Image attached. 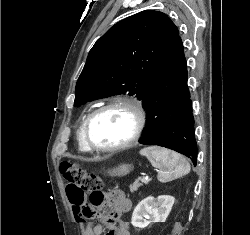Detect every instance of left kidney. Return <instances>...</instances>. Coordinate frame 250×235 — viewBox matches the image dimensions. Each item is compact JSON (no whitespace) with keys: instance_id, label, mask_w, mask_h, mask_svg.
I'll return each instance as SVG.
<instances>
[{"instance_id":"1","label":"left kidney","mask_w":250,"mask_h":235,"mask_svg":"<svg viewBox=\"0 0 250 235\" xmlns=\"http://www.w3.org/2000/svg\"><path fill=\"white\" fill-rule=\"evenodd\" d=\"M175 198L161 195L157 198L149 196L135 207L131 224L134 227L145 228L150 223L165 222L174 204Z\"/></svg>"}]
</instances>
